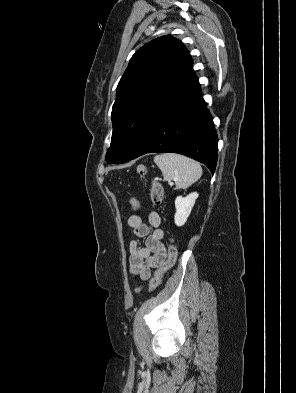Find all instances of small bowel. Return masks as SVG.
<instances>
[{
  "label": "small bowel",
  "instance_id": "c3829d8e",
  "mask_svg": "<svg viewBox=\"0 0 296 393\" xmlns=\"http://www.w3.org/2000/svg\"><path fill=\"white\" fill-rule=\"evenodd\" d=\"M150 228L142 221L138 215L128 217V225L133 230L135 236L144 238V244L137 240H132L129 245V273L137 276L141 280H147L151 276V271L160 266L166 256V248L163 243L164 231L161 228L160 215L152 211L148 215Z\"/></svg>",
  "mask_w": 296,
  "mask_h": 393
}]
</instances>
